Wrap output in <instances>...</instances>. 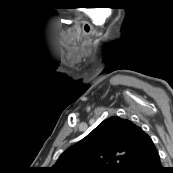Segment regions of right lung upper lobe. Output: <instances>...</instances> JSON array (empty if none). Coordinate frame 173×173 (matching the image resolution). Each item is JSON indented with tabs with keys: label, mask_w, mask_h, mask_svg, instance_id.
Instances as JSON below:
<instances>
[{
	"label": "right lung upper lobe",
	"mask_w": 173,
	"mask_h": 173,
	"mask_svg": "<svg viewBox=\"0 0 173 173\" xmlns=\"http://www.w3.org/2000/svg\"><path fill=\"white\" fill-rule=\"evenodd\" d=\"M154 148L140 127L114 116L67 149L50 173H121L132 160Z\"/></svg>",
	"instance_id": "cb5924a9"
}]
</instances>
